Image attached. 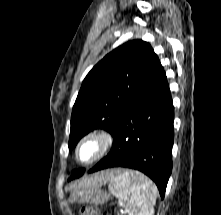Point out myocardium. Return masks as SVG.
<instances>
[{"label": "myocardium", "mask_w": 221, "mask_h": 215, "mask_svg": "<svg viewBox=\"0 0 221 215\" xmlns=\"http://www.w3.org/2000/svg\"><path fill=\"white\" fill-rule=\"evenodd\" d=\"M114 138L106 130H94L82 137L75 148V158L82 165H90L104 157L113 147ZM90 150L88 155L85 151Z\"/></svg>", "instance_id": "f54148a6"}]
</instances>
